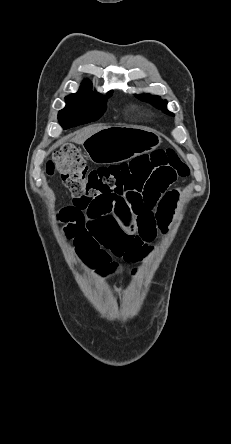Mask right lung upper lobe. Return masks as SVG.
<instances>
[{
    "label": "right lung upper lobe",
    "mask_w": 231,
    "mask_h": 444,
    "mask_svg": "<svg viewBox=\"0 0 231 444\" xmlns=\"http://www.w3.org/2000/svg\"><path fill=\"white\" fill-rule=\"evenodd\" d=\"M85 83L80 87L79 91L76 94H94L97 92H93L90 87V82L88 80L84 81Z\"/></svg>",
    "instance_id": "1"
}]
</instances>
